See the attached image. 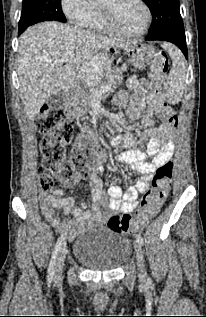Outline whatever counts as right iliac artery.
<instances>
[{
  "instance_id": "82829eb1",
  "label": "right iliac artery",
  "mask_w": 206,
  "mask_h": 317,
  "mask_svg": "<svg viewBox=\"0 0 206 317\" xmlns=\"http://www.w3.org/2000/svg\"><path fill=\"white\" fill-rule=\"evenodd\" d=\"M64 240H65V236L62 235L56 245H55V248H54V251L52 253V257H51V260H50V263H49V268H48V281L51 282L52 279H53V276H54V269H55V262H56V258H57V255L60 251V248L62 246V244L64 243Z\"/></svg>"
}]
</instances>
